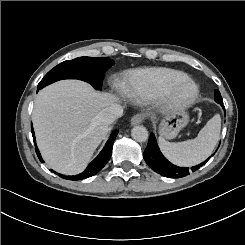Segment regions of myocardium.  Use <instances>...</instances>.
Returning a JSON list of instances; mask_svg holds the SVG:
<instances>
[{"mask_svg": "<svg viewBox=\"0 0 245 245\" xmlns=\"http://www.w3.org/2000/svg\"><path fill=\"white\" fill-rule=\"evenodd\" d=\"M190 85L193 92L189 97H179L177 91L182 87ZM199 89L197 84L191 79H184L165 86L157 94V99L166 105L168 110H182L190 106L198 97Z\"/></svg>", "mask_w": 245, "mask_h": 245, "instance_id": "f54148a6", "label": "myocardium"}]
</instances>
